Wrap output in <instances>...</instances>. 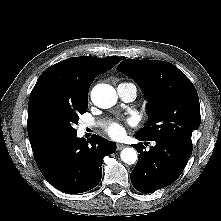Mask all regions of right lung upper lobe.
I'll list each match as a JSON object with an SVG mask.
<instances>
[{"mask_svg": "<svg viewBox=\"0 0 221 221\" xmlns=\"http://www.w3.org/2000/svg\"><path fill=\"white\" fill-rule=\"evenodd\" d=\"M121 57H72L48 67L39 77L29 98L28 136L33 150L50 140L44 135L38 112L45 100L88 101V90L94 79L113 68Z\"/></svg>", "mask_w": 221, "mask_h": 221, "instance_id": "1", "label": "right lung upper lobe"}]
</instances>
